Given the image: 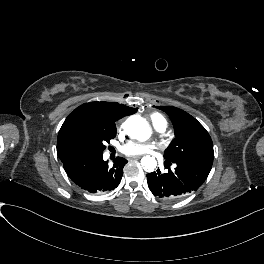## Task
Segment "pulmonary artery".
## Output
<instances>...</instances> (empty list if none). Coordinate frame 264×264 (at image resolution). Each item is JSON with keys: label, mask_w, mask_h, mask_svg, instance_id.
Wrapping results in <instances>:
<instances>
[{"label": "pulmonary artery", "mask_w": 264, "mask_h": 264, "mask_svg": "<svg viewBox=\"0 0 264 264\" xmlns=\"http://www.w3.org/2000/svg\"><path fill=\"white\" fill-rule=\"evenodd\" d=\"M157 125L160 128H163L164 127V124L163 123H159L158 122ZM126 147L127 148H131L134 151H137L139 153H149L152 150L153 145L148 143V144H142V145H138V146L127 145Z\"/></svg>", "instance_id": "obj_1"}]
</instances>
